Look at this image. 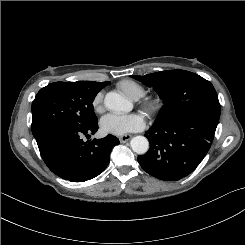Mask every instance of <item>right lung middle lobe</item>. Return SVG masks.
I'll list each match as a JSON object with an SVG mask.
<instances>
[{
	"label": "right lung middle lobe",
	"mask_w": 245,
	"mask_h": 245,
	"mask_svg": "<svg viewBox=\"0 0 245 245\" xmlns=\"http://www.w3.org/2000/svg\"><path fill=\"white\" fill-rule=\"evenodd\" d=\"M103 87L86 81L55 82L43 87L32 102L33 136L52 125L85 129L97 123L92 103Z\"/></svg>",
	"instance_id": "obj_1"
}]
</instances>
